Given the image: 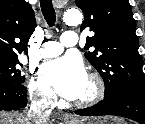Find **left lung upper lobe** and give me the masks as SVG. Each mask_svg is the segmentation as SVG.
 I'll list each match as a JSON object with an SVG mask.
<instances>
[{"instance_id": "left-lung-upper-lobe-1", "label": "left lung upper lobe", "mask_w": 145, "mask_h": 124, "mask_svg": "<svg viewBox=\"0 0 145 124\" xmlns=\"http://www.w3.org/2000/svg\"><path fill=\"white\" fill-rule=\"evenodd\" d=\"M84 12L81 32L90 29L85 49L94 46L85 57L105 82V95L129 89L145 93L142 60L138 52L136 23L128 0H75Z\"/></svg>"}]
</instances>
